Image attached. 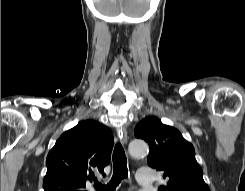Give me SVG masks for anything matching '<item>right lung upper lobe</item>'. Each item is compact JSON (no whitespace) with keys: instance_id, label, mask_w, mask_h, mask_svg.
<instances>
[{"instance_id":"right-lung-upper-lobe-1","label":"right lung upper lobe","mask_w":245,"mask_h":191,"mask_svg":"<svg viewBox=\"0 0 245 191\" xmlns=\"http://www.w3.org/2000/svg\"><path fill=\"white\" fill-rule=\"evenodd\" d=\"M113 135L104 125L84 120L63 133L46 159L44 191H86V186L105 176Z\"/></svg>"}]
</instances>
